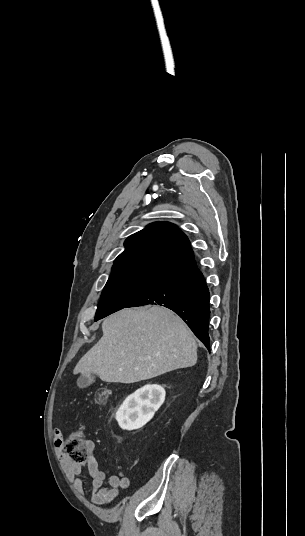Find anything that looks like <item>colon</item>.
I'll return each mask as SVG.
<instances>
[{"instance_id":"obj_1","label":"colon","mask_w":305,"mask_h":536,"mask_svg":"<svg viewBox=\"0 0 305 536\" xmlns=\"http://www.w3.org/2000/svg\"><path fill=\"white\" fill-rule=\"evenodd\" d=\"M109 395V390L101 389L96 393L93 401L97 405H105L108 402ZM63 442L65 446H68V450H73L69 455L71 462H82L84 454L89 452V445L85 438L82 437L81 429L77 430L74 435H65Z\"/></svg>"}]
</instances>
